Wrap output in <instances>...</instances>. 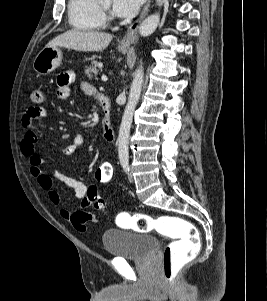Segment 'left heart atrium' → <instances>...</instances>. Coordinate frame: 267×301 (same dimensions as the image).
I'll list each match as a JSON object with an SVG mask.
<instances>
[{
    "label": "left heart atrium",
    "mask_w": 267,
    "mask_h": 301,
    "mask_svg": "<svg viewBox=\"0 0 267 301\" xmlns=\"http://www.w3.org/2000/svg\"><path fill=\"white\" fill-rule=\"evenodd\" d=\"M141 3L142 0H112L111 11L114 16L130 18L137 13Z\"/></svg>",
    "instance_id": "39dd6f15"
}]
</instances>
